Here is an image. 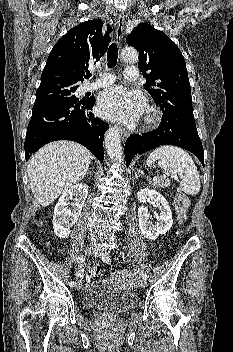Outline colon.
I'll list each match as a JSON object with an SVG mask.
<instances>
[{
	"instance_id": "obj_1",
	"label": "colon",
	"mask_w": 233,
	"mask_h": 352,
	"mask_svg": "<svg viewBox=\"0 0 233 352\" xmlns=\"http://www.w3.org/2000/svg\"><path fill=\"white\" fill-rule=\"evenodd\" d=\"M174 205H175V210L177 213V219L179 223H184L186 221L188 209L190 206V200L188 196L182 193L178 194L175 198ZM100 274H101L100 265L98 264L90 265L86 271L85 281L91 282L93 280H96L100 277Z\"/></svg>"
}]
</instances>
